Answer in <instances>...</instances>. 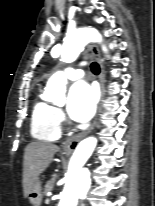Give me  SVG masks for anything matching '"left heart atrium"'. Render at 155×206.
I'll list each match as a JSON object with an SVG mask.
<instances>
[{
	"mask_svg": "<svg viewBox=\"0 0 155 206\" xmlns=\"http://www.w3.org/2000/svg\"><path fill=\"white\" fill-rule=\"evenodd\" d=\"M96 91L85 81L76 82L70 88L67 111L72 119L84 122L89 120L95 111Z\"/></svg>",
	"mask_w": 155,
	"mask_h": 206,
	"instance_id": "1",
	"label": "left heart atrium"
}]
</instances>
